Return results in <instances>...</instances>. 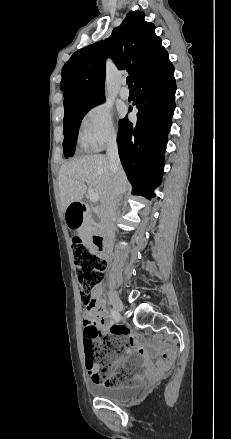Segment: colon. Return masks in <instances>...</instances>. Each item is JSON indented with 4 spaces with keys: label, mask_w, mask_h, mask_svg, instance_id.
<instances>
[{
    "label": "colon",
    "mask_w": 231,
    "mask_h": 439,
    "mask_svg": "<svg viewBox=\"0 0 231 439\" xmlns=\"http://www.w3.org/2000/svg\"><path fill=\"white\" fill-rule=\"evenodd\" d=\"M72 253L76 277L80 285V297L87 307L94 305L93 294L101 283L106 263L91 252L80 237L72 239ZM128 346L127 341L120 337L104 338L101 345H84L85 365L95 381H103L106 386H121L131 383L128 370L122 366L113 374L109 367Z\"/></svg>",
    "instance_id": "1"
}]
</instances>
